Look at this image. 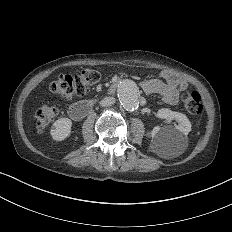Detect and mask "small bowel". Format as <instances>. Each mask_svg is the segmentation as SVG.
<instances>
[{
  "label": "small bowel",
  "instance_id": "1",
  "mask_svg": "<svg viewBox=\"0 0 232 232\" xmlns=\"http://www.w3.org/2000/svg\"><path fill=\"white\" fill-rule=\"evenodd\" d=\"M186 86L182 80L167 77L165 81L159 79H144L141 87L146 94L158 93L161 101L174 103L177 101L178 92Z\"/></svg>",
  "mask_w": 232,
  "mask_h": 232
}]
</instances>
